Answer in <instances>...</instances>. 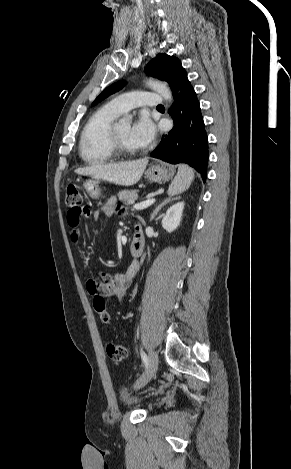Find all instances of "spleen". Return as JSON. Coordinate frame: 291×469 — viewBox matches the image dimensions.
Returning a JSON list of instances; mask_svg holds the SVG:
<instances>
[{
  "label": "spleen",
  "mask_w": 291,
  "mask_h": 469,
  "mask_svg": "<svg viewBox=\"0 0 291 469\" xmlns=\"http://www.w3.org/2000/svg\"><path fill=\"white\" fill-rule=\"evenodd\" d=\"M194 180L193 170L185 164H181L178 173L169 186L168 193L170 195L180 194L186 191Z\"/></svg>",
  "instance_id": "obj_1"
}]
</instances>
